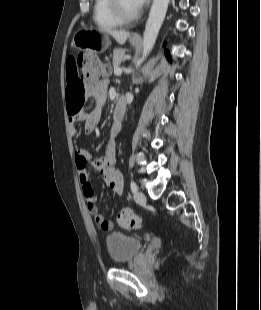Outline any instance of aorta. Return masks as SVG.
Returning a JSON list of instances; mask_svg holds the SVG:
<instances>
[{"label":"aorta","mask_w":261,"mask_h":310,"mask_svg":"<svg viewBox=\"0 0 261 310\" xmlns=\"http://www.w3.org/2000/svg\"><path fill=\"white\" fill-rule=\"evenodd\" d=\"M169 0H153L149 17L143 34V61L153 49L158 33L165 19Z\"/></svg>","instance_id":"obj_1"}]
</instances>
